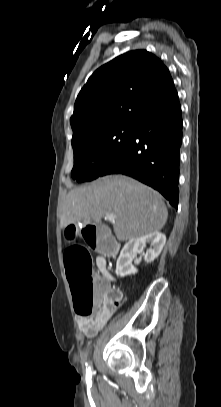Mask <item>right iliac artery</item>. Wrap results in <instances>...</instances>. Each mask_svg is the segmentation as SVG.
I'll list each match as a JSON object with an SVG mask.
<instances>
[{"label": "right iliac artery", "instance_id": "obj_1", "mask_svg": "<svg viewBox=\"0 0 221 407\" xmlns=\"http://www.w3.org/2000/svg\"><path fill=\"white\" fill-rule=\"evenodd\" d=\"M91 376H92L91 368L88 367V369L86 370V379H91Z\"/></svg>", "mask_w": 221, "mask_h": 407}]
</instances>
